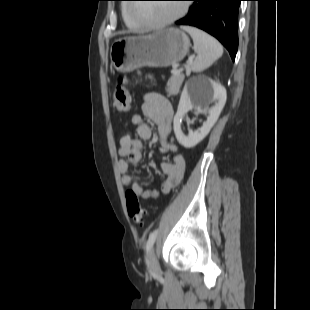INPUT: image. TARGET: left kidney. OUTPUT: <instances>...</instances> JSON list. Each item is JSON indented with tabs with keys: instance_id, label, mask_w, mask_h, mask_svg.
<instances>
[{
	"instance_id": "1",
	"label": "left kidney",
	"mask_w": 310,
	"mask_h": 310,
	"mask_svg": "<svg viewBox=\"0 0 310 310\" xmlns=\"http://www.w3.org/2000/svg\"><path fill=\"white\" fill-rule=\"evenodd\" d=\"M210 95L218 101L217 105L210 109L207 121L203 123V126L196 131L190 130L189 134L186 136L181 129V123L185 114L193 108L191 98H196L198 103L203 105L206 101V97ZM226 98V89L211 79H204L196 83L191 90H188L186 87L181 94L178 109L173 121L174 133L178 142L185 148H193L201 142L218 120L225 105Z\"/></svg>"
}]
</instances>
